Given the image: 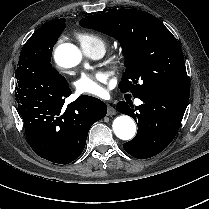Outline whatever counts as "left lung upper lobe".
I'll list each match as a JSON object with an SVG mask.
<instances>
[{
	"mask_svg": "<svg viewBox=\"0 0 209 209\" xmlns=\"http://www.w3.org/2000/svg\"><path fill=\"white\" fill-rule=\"evenodd\" d=\"M82 27L116 38L123 49L126 72L118 87L137 97L147 91L189 95L183 52L173 34L153 15L126 9L86 16Z\"/></svg>",
	"mask_w": 209,
	"mask_h": 209,
	"instance_id": "1",
	"label": "left lung upper lobe"
}]
</instances>
